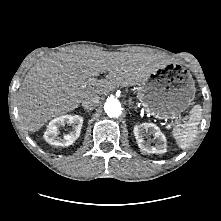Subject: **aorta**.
<instances>
[{
  "label": "aorta",
  "instance_id": "762f6f07",
  "mask_svg": "<svg viewBox=\"0 0 221 221\" xmlns=\"http://www.w3.org/2000/svg\"><path fill=\"white\" fill-rule=\"evenodd\" d=\"M104 110L109 117H118L121 114V104L117 99L109 98L104 104Z\"/></svg>",
  "mask_w": 221,
  "mask_h": 221
}]
</instances>
